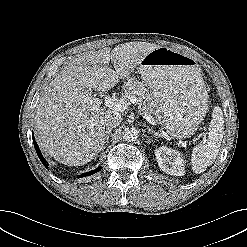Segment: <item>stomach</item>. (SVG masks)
<instances>
[{"mask_svg":"<svg viewBox=\"0 0 247 247\" xmlns=\"http://www.w3.org/2000/svg\"><path fill=\"white\" fill-rule=\"evenodd\" d=\"M138 71L150 87L167 133L190 137L207 110V90L196 60L168 47H158L139 63Z\"/></svg>","mask_w":247,"mask_h":247,"instance_id":"0dacf381","label":"stomach"}]
</instances>
